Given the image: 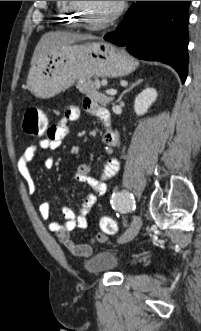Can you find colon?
Returning a JSON list of instances; mask_svg holds the SVG:
<instances>
[{
  "label": "colon",
  "mask_w": 201,
  "mask_h": 331,
  "mask_svg": "<svg viewBox=\"0 0 201 331\" xmlns=\"http://www.w3.org/2000/svg\"><path fill=\"white\" fill-rule=\"evenodd\" d=\"M48 122L44 112L37 107H29L24 115L23 130L29 137H42L48 131ZM100 227L102 232L97 233L93 242L103 243L106 240V235H114L117 233V224L113 218L103 216L100 219Z\"/></svg>",
  "instance_id": "5ec220e1"
}]
</instances>
